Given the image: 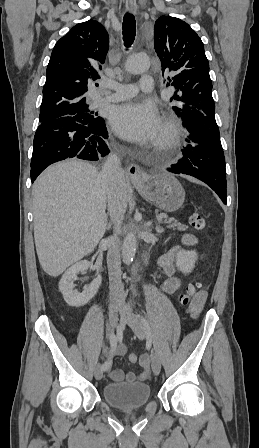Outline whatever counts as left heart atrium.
Listing matches in <instances>:
<instances>
[{"label":"left heart atrium","mask_w":259,"mask_h":448,"mask_svg":"<svg viewBox=\"0 0 259 448\" xmlns=\"http://www.w3.org/2000/svg\"><path fill=\"white\" fill-rule=\"evenodd\" d=\"M110 122L120 137L132 142L156 138L162 128L156 106L146 101H131L117 106L111 113Z\"/></svg>","instance_id":"obj_1"}]
</instances>
